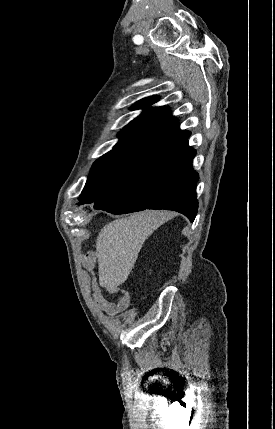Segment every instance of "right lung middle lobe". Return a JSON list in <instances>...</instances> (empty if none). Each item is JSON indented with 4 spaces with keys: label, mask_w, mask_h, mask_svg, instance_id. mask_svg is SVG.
Returning <instances> with one entry per match:
<instances>
[{
    "label": "right lung middle lobe",
    "mask_w": 275,
    "mask_h": 429,
    "mask_svg": "<svg viewBox=\"0 0 275 429\" xmlns=\"http://www.w3.org/2000/svg\"><path fill=\"white\" fill-rule=\"evenodd\" d=\"M149 158L123 151H110L97 159L80 195V204L92 203L119 188Z\"/></svg>",
    "instance_id": "1"
}]
</instances>
